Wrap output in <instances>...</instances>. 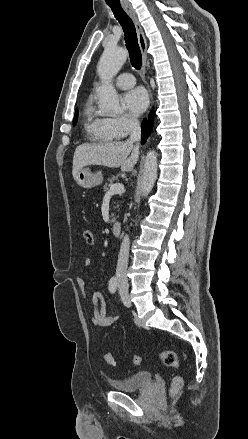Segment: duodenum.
Listing matches in <instances>:
<instances>
[{
	"mask_svg": "<svg viewBox=\"0 0 248 439\" xmlns=\"http://www.w3.org/2000/svg\"><path fill=\"white\" fill-rule=\"evenodd\" d=\"M123 224L120 221H116L111 225V231L114 235H120L122 232Z\"/></svg>",
	"mask_w": 248,
	"mask_h": 439,
	"instance_id": "obj_1",
	"label": "duodenum"
}]
</instances>
